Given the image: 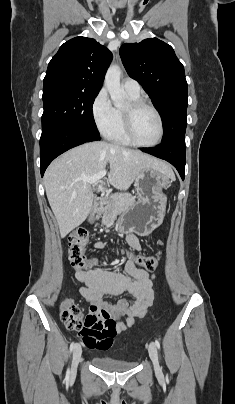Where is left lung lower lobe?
<instances>
[{
    "instance_id": "left-lung-lower-lobe-1",
    "label": "left lung lower lobe",
    "mask_w": 235,
    "mask_h": 404,
    "mask_svg": "<svg viewBox=\"0 0 235 404\" xmlns=\"http://www.w3.org/2000/svg\"><path fill=\"white\" fill-rule=\"evenodd\" d=\"M141 150L171 163L178 170L182 180H184L186 162L184 138L171 139L162 142L155 148H142Z\"/></svg>"
}]
</instances>
